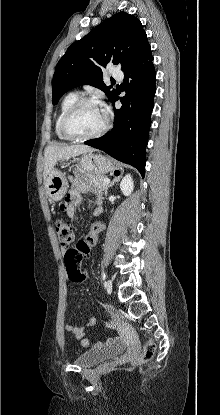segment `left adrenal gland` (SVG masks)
Here are the masks:
<instances>
[{
    "instance_id": "left-adrenal-gland-1",
    "label": "left adrenal gland",
    "mask_w": 220,
    "mask_h": 415,
    "mask_svg": "<svg viewBox=\"0 0 220 415\" xmlns=\"http://www.w3.org/2000/svg\"><path fill=\"white\" fill-rule=\"evenodd\" d=\"M120 177H121V176L115 177V178L112 180V182L110 183L109 188H110V187H112V186L114 185V183H115V182H118V181L120 180ZM106 194H107V191H106Z\"/></svg>"
}]
</instances>
